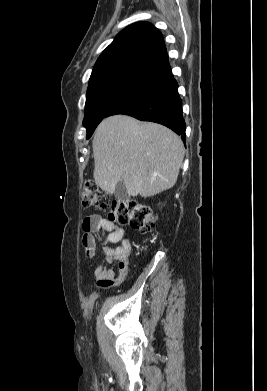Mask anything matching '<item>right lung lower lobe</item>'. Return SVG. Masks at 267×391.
I'll use <instances>...</instances> for the list:
<instances>
[{"label": "right lung lower lobe", "mask_w": 267, "mask_h": 391, "mask_svg": "<svg viewBox=\"0 0 267 391\" xmlns=\"http://www.w3.org/2000/svg\"><path fill=\"white\" fill-rule=\"evenodd\" d=\"M177 89V82L169 66L116 105L107 117L126 114L142 121L159 123L181 135L185 142L182 100Z\"/></svg>", "instance_id": "1"}]
</instances>
